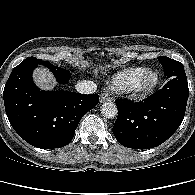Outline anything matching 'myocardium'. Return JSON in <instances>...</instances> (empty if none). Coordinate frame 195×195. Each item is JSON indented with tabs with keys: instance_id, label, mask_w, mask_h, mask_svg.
<instances>
[{
	"instance_id": "myocardium-1",
	"label": "myocardium",
	"mask_w": 195,
	"mask_h": 195,
	"mask_svg": "<svg viewBox=\"0 0 195 195\" xmlns=\"http://www.w3.org/2000/svg\"><path fill=\"white\" fill-rule=\"evenodd\" d=\"M159 84V75L146 69L133 83L130 92L134 96H145L151 93Z\"/></svg>"
}]
</instances>
